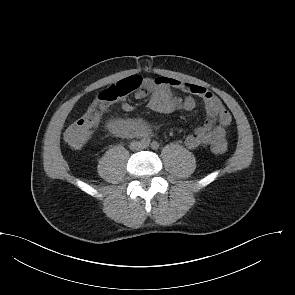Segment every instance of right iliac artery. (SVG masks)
I'll return each instance as SVG.
<instances>
[{
  "instance_id": "right-iliac-artery-1",
  "label": "right iliac artery",
  "mask_w": 295,
  "mask_h": 295,
  "mask_svg": "<svg viewBox=\"0 0 295 295\" xmlns=\"http://www.w3.org/2000/svg\"><path fill=\"white\" fill-rule=\"evenodd\" d=\"M141 141H142V143H143L144 145H149L151 140H150V138L145 137V138H143Z\"/></svg>"
}]
</instances>
